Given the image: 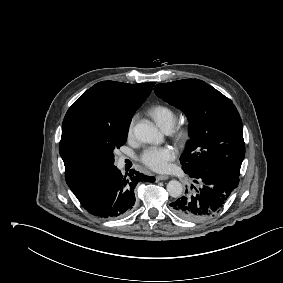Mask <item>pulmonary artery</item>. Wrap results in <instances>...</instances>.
Segmentation results:
<instances>
[{
	"mask_svg": "<svg viewBox=\"0 0 283 283\" xmlns=\"http://www.w3.org/2000/svg\"><path fill=\"white\" fill-rule=\"evenodd\" d=\"M171 128H172V127H166V128L163 129V130L168 133V132H170ZM124 160H125V157H120V158H119V161H118L119 164L122 165V164L124 163Z\"/></svg>",
	"mask_w": 283,
	"mask_h": 283,
	"instance_id": "e3ab8cb5",
	"label": "pulmonary artery"
}]
</instances>
